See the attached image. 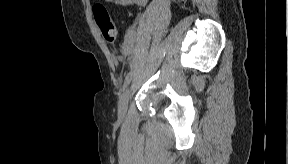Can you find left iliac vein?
Returning <instances> with one entry per match:
<instances>
[{"instance_id": "obj_1", "label": "left iliac vein", "mask_w": 288, "mask_h": 164, "mask_svg": "<svg viewBox=\"0 0 288 164\" xmlns=\"http://www.w3.org/2000/svg\"><path fill=\"white\" fill-rule=\"evenodd\" d=\"M129 99H130V89L127 88L122 93L120 100H119V103H118V116H119V118L125 117V115L127 113V109H128Z\"/></svg>"}]
</instances>
